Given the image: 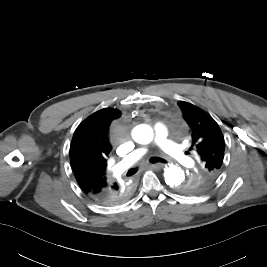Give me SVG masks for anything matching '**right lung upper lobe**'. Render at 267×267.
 I'll use <instances>...</instances> for the list:
<instances>
[{
	"label": "right lung upper lobe",
	"instance_id": "right-lung-upper-lobe-1",
	"mask_svg": "<svg viewBox=\"0 0 267 267\" xmlns=\"http://www.w3.org/2000/svg\"><path fill=\"white\" fill-rule=\"evenodd\" d=\"M121 113L112 108L101 109L86 118L74 132L70 146V162L75 178L88 195H96L117 185L107 177L106 167L112 146L108 128Z\"/></svg>",
	"mask_w": 267,
	"mask_h": 267
}]
</instances>
